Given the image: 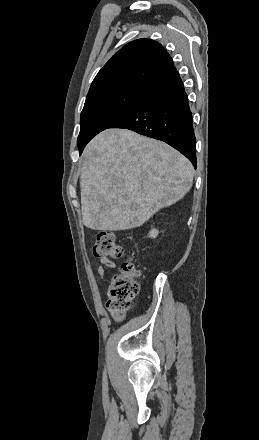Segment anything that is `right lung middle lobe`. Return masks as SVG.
<instances>
[{"mask_svg":"<svg viewBox=\"0 0 259 440\" xmlns=\"http://www.w3.org/2000/svg\"><path fill=\"white\" fill-rule=\"evenodd\" d=\"M147 91L122 89L86 101L81 112V128L77 139L80 154L95 135L129 112Z\"/></svg>","mask_w":259,"mask_h":440,"instance_id":"obj_1","label":"right lung middle lobe"}]
</instances>
